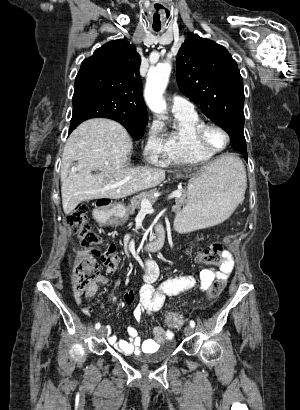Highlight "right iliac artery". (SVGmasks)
<instances>
[{
    "instance_id": "1",
    "label": "right iliac artery",
    "mask_w": 300,
    "mask_h": 410,
    "mask_svg": "<svg viewBox=\"0 0 300 410\" xmlns=\"http://www.w3.org/2000/svg\"><path fill=\"white\" fill-rule=\"evenodd\" d=\"M100 326H101L100 323H97V324L95 325V328H96V329H99Z\"/></svg>"
}]
</instances>
